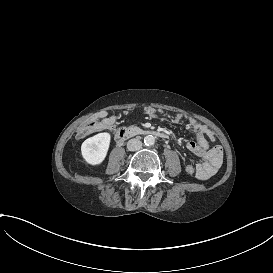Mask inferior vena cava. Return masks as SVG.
Listing matches in <instances>:
<instances>
[{"instance_id":"602c4592","label":"inferior vena cava","mask_w":273,"mask_h":273,"mask_svg":"<svg viewBox=\"0 0 273 273\" xmlns=\"http://www.w3.org/2000/svg\"><path fill=\"white\" fill-rule=\"evenodd\" d=\"M141 147H142V142L136 138L130 139L127 143V148L130 151L139 150V149H141Z\"/></svg>"}]
</instances>
